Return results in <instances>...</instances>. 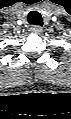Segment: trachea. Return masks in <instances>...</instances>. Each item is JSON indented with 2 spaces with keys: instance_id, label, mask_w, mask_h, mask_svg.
<instances>
[{
  "instance_id": "obj_1",
  "label": "trachea",
  "mask_w": 71,
  "mask_h": 119,
  "mask_svg": "<svg viewBox=\"0 0 71 119\" xmlns=\"http://www.w3.org/2000/svg\"><path fill=\"white\" fill-rule=\"evenodd\" d=\"M28 23L32 25H38L41 26L43 24V19L42 16L39 12L37 11H31L29 12L28 16Z\"/></svg>"
}]
</instances>
